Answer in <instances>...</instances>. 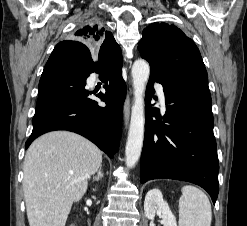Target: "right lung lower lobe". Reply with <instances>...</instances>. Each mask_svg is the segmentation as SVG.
<instances>
[{
  "label": "right lung lower lobe",
  "mask_w": 247,
  "mask_h": 226,
  "mask_svg": "<svg viewBox=\"0 0 247 226\" xmlns=\"http://www.w3.org/2000/svg\"><path fill=\"white\" fill-rule=\"evenodd\" d=\"M93 72L110 80L106 93L96 95L107 104L104 108L90 99L91 92L85 89L86 79ZM125 97L122 65L111 64L109 56L100 52L98 62L94 63L85 44L60 42L41 75L33 131L25 147L46 132L68 130L86 137L113 158L121 138Z\"/></svg>",
  "instance_id": "right-lung-lower-lobe-1"
}]
</instances>
